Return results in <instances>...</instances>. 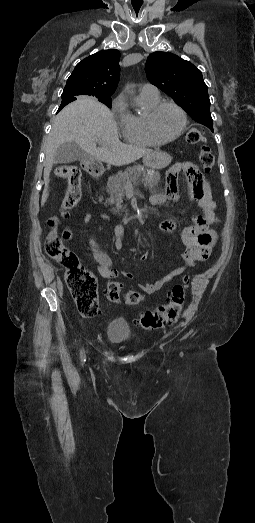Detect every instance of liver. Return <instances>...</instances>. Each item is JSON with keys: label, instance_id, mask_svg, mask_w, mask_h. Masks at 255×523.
I'll list each match as a JSON object with an SVG mask.
<instances>
[{"label": "liver", "instance_id": "liver-1", "mask_svg": "<svg viewBox=\"0 0 255 523\" xmlns=\"http://www.w3.org/2000/svg\"><path fill=\"white\" fill-rule=\"evenodd\" d=\"M65 142H76L86 154H91L96 160L112 164V166H127L135 160L151 154H159L162 162H170L165 152H153L137 146L122 144L118 138L117 124L109 108L100 104L96 98L80 96L76 102L66 106L52 122L46 146V166L44 168L45 188L42 194L41 206H44L49 194L48 184L54 160L55 150ZM96 144H100L97 148Z\"/></svg>", "mask_w": 255, "mask_h": 523}]
</instances>
